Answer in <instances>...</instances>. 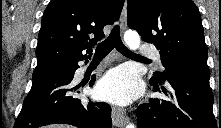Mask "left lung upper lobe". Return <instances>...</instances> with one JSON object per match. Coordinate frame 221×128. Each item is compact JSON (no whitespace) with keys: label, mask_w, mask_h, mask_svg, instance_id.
Instances as JSON below:
<instances>
[{"label":"left lung upper lobe","mask_w":221,"mask_h":128,"mask_svg":"<svg viewBox=\"0 0 221 128\" xmlns=\"http://www.w3.org/2000/svg\"><path fill=\"white\" fill-rule=\"evenodd\" d=\"M127 22L160 50L165 70L151 80L163 83L174 68L209 74L207 46L197 6L191 0H128Z\"/></svg>","instance_id":"1"}]
</instances>
